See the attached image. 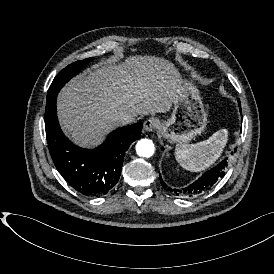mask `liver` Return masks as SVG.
Here are the masks:
<instances>
[{"instance_id":"liver-1","label":"liver","mask_w":274,"mask_h":274,"mask_svg":"<svg viewBox=\"0 0 274 274\" xmlns=\"http://www.w3.org/2000/svg\"><path fill=\"white\" fill-rule=\"evenodd\" d=\"M181 80L173 63L155 56L94 64L58 94L60 124L75 144L94 148L120 126L123 113L137 117L169 111Z\"/></svg>"}]
</instances>
